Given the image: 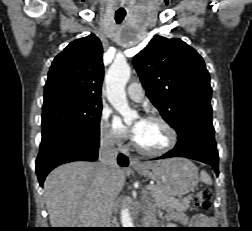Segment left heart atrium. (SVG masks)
<instances>
[{
  "mask_svg": "<svg viewBox=\"0 0 252 231\" xmlns=\"http://www.w3.org/2000/svg\"><path fill=\"white\" fill-rule=\"evenodd\" d=\"M144 121H145V119H140L134 126H132L129 129V132L132 134V136L134 138L138 135L140 128L143 125Z\"/></svg>",
  "mask_w": 252,
  "mask_h": 231,
  "instance_id": "1",
  "label": "left heart atrium"
}]
</instances>
